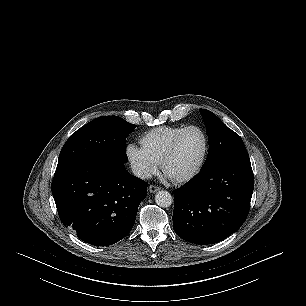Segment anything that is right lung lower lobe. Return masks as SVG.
I'll return each instance as SVG.
<instances>
[{
	"instance_id": "right-lung-lower-lobe-1",
	"label": "right lung lower lobe",
	"mask_w": 306,
	"mask_h": 306,
	"mask_svg": "<svg viewBox=\"0 0 306 306\" xmlns=\"http://www.w3.org/2000/svg\"><path fill=\"white\" fill-rule=\"evenodd\" d=\"M147 186L122 162L88 161L56 172L52 194L65 227L86 243L108 246L132 229Z\"/></svg>"
}]
</instances>
